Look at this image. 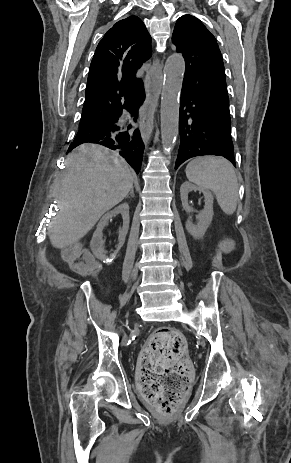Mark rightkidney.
I'll return each mask as SVG.
<instances>
[{
  "mask_svg": "<svg viewBox=\"0 0 291 463\" xmlns=\"http://www.w3.org/2000/svg\"><path fill=\"white\" fill-rule=\"evenodd\" d=\"M116 214H121L123 218V226L119 230V244L118 248H120L124 242H125V237L127 235L128 229H129V205L127 203H123L119 206H117L114 210L107 212L100 220V222L97 225V228L93 234L90 247L94 255L100 259V260H105L106 259V251L104 249V240H103V229L104 227L108 224L109 220L112 219L113 216Z\"/></svg>",
  "mask_w": 291,
  "mask_h": 463,
  "instance_id": "ca27d5eb",
  "label": "right kidney"
}]
</instances>
